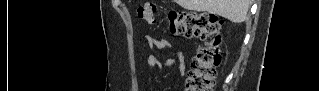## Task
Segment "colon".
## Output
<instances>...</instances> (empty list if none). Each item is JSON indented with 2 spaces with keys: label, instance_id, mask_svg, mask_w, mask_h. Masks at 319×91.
<instances>
[{
  "label": "colon",
  "instance_id": "obj_1",
  "mask_svg": "<svg viewBox=\"0 0 319 91\" xmlns=\"http://www.w3.org/2000/svg\"><path fill=\"white\" fill-rule=\"evenodd\" d=\"M137 13L148 25L164 23L172 35L198 36L203 40L204 44L191 63L185 86L187 91H212L221 59V23L217 16L206 12L169 11L162 18L157 4L152 2L141 6Z\"/></svg>",
  "mask_w": 319,
  "mask_h": 91
}]
</instances>
